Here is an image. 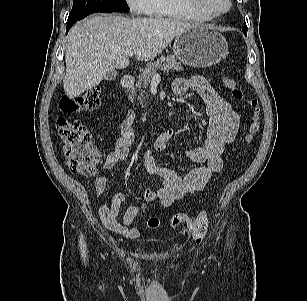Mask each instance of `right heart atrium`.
<instances>
[{"instance_id": "right-heart-atrium-1", "label": "right heart atrium", "mask_w": 307, "mask_h": 301, "mask_svg": "<svg viewBox=\"0 0 307 301\" xmlns=\"http://www.w3.org/2000/svg\"><path fill=\"white\" fill-rule=\"evenodd\" d=\"M152 0H126L130 10L136 14H148Z\"/></svg>"}]
</instances>
